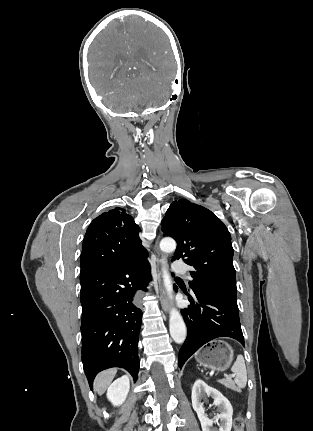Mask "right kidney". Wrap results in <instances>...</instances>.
<instances>
[{"label":"right kidney","mask_w":313,"mask_h":431,"mask_svg":"<svg viewBox=\"0 0 313 431\" xmlns=\"http://www.w3.org/2000/svg\"><path fill=\"white\" fill-rule=\"evenodd\" d=\"M129 389V377L122 376L108 387L107 398L114 406H119L126 400Z\"/></svg>","instance_id":"obj_1"}]
</instances>
